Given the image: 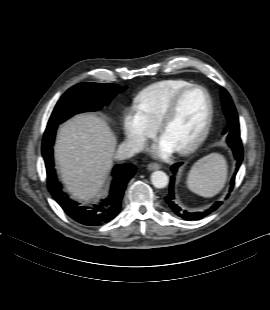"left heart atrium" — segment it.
Segmentation results:
<instances>
[{"instance_id":"1","label":"left heart atrium","mask_w":270,"mask_h":310,"mask_svg":"<svg viewBox=\"0 0 270 310\" xmlns=\"http://www.w3.org/2000/svg\"><path fill=\"white\" fill-rule=\"evenodd\" d=\"M175 150L176 149L162 137L158 143L152 147L153 153L162 158L170 156Z\"/></svg>"}]
</instances>
